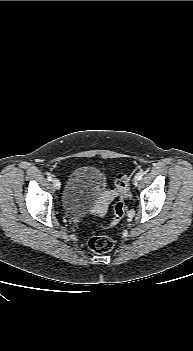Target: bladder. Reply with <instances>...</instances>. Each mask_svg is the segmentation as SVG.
<instances>
[{
    "label": "bladder",
    "mask_w": 193,
    "mask_h": 351,
    "mask_svg": "<svg viewBox=\"0 0 193 351\" xmlns=\"http://www.w3.org/2000/svg\"><path fill=\"white\" fill-rule=\"evenodd\" d=\"M106 186L102 171L94 166H81L69 175L62 196V207L70 217L80 218L90 214L96 205L92 196Z\"/></svg>",
    "instance_id": "bladder-1"
}]
</instances>
